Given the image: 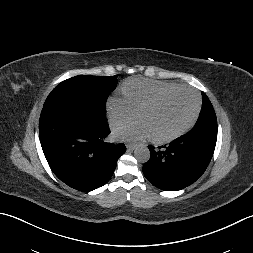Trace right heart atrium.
<instances>
[{"instance_id":"1","label":"right heart atrium","mask_w":253,"mask_h":253,"mask_svg":"<svg viewBox=\"0 0 253 253\" xmlns=\"http://www.w3.org/2000/svg\"><path fill=\"white\" fill-rule=\"evenodd\" d=\"M106 106L111 125L129 122L136 114V111L124 98L111 97L108 99Z\"/></svg>"}]
</instances>
